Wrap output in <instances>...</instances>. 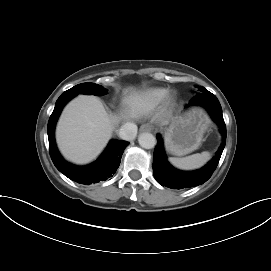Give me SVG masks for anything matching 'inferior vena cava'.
Returning <instances> with one entry per match:
<instances>
[{
    "instance_id": "inferior-vena-cava-1",
    "label": "inferior vena cava",
    "mask_w": 271,
    "mask_h": 271,
    "mask_svg": "<svg viewBox=\"0 0 271 271\" xmlns=\"http://www.w3.org/2000/svg\"><path fill=\"white\" fill-rule=\"evenodd\" d=\"M119 137L126 141L135 139L137 135V125L134 123L127 122L119 129Z\"/></svg>"
}]
</instances>
